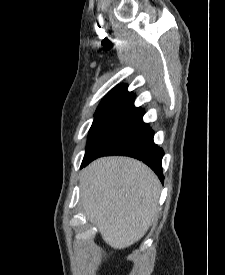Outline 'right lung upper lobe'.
<instances>
[{
  "label": "right lung upper lobe",
  "mask_w": 225,
  "mask_h": 275,
  "mask_svg": "<svg viewBox=\"0 0 225 275\" xmlns=\"http://www.w3.org/2000/svg\"><path fill=\"white\" fill-rule=\"evenodd\" d=\"M134 99L135 96L127 91V85H119L103 98L94 116L118 115L129 117L143 111L134 106Z\"/></svg>",
  "instance_id": "obj_1"
}]
</instances>
